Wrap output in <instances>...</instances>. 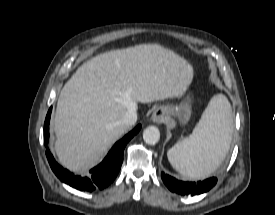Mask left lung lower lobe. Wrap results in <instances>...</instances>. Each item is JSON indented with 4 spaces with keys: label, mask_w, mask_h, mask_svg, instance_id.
<instances>
[{
    "label": "left lung lower lobe",
    "mask_w": 275,
    "mask_h": 215,
    "mask_svg": "<svg viewBox=\"0 0 275 215\" xmlns=\"http://www.w3.org/2000/svg\"><path fill=\"white\" fill-rule=\"evenodd\" d=\"M161 178L172 192L180 195H199L209 191L217 183V178L215 177L197 182H183L163 172L161 173Z\"/></svg>",
    "instance_id": "obj_1"
}]
</instances>
